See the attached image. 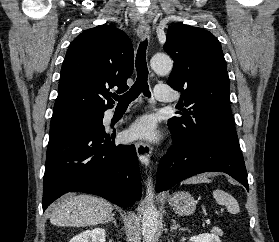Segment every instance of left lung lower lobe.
<instances>
[{
	"mask_svg": "<svg viewBox=\"0 0 279 242\" xmlns=\"http://www.w3.org/2000/svg\"><path fill=\"white\" fill-rule=\"evenodd\" d=\"M172 134L173 146L161 158L158 166L157 192L168 190L182 180L206 171L225 172L249 189L247 171L239 149L211 142L185 146Z\"/></svg>",
	"mask_w": 279,
	"mask_h": 242,
	"instance_id": "obj_1",
	"label": "left lung lower lobe"
}]
</instances>
